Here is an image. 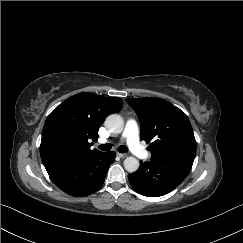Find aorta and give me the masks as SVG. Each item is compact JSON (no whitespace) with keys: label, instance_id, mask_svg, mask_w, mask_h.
I'll return each mask as SVG.
<instances>
[{"label":"aorta","instance_id":"762f6f07","mask_svg":"<svg viewBox=\"0 0 243 243\" xmlns=\"http://www.w3.org/2000/svg\"><path fill=\"white\" fill-rule=\"evenodd\" d=\"M104 125L109 130V132L118 134L123 131L124 121L120 115L111 114L105 119ZM139 165L140 163L135 157H127L124 160V168L129 173L137 171Z\"/></svg>","mask_w":243,"mask_h":243}]
</instances>
